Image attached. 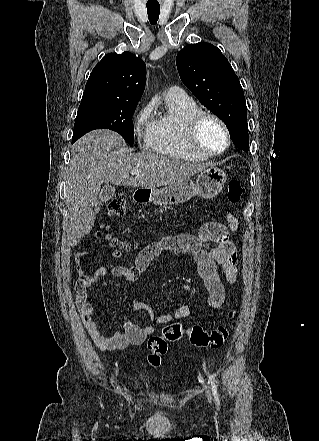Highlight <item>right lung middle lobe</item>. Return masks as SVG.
Instances as JSON below:
<instances>
[{"mask_svg": "<svg viewBox=\"0 0 319 441\" xmlns=\"http://www.w3.org/2000/svg\"><path fill=\"white\" fill-rule=\"evenodd\" d=\"M137 104L114 101H81L74 124L72 143L94 129L118 132L133 145L132 115Z\"/></svg>", "mask_w": 319, "mask_h": 441, "instance_id": "obj_1", "label": "right lung middle lobe"}]
</instances>
